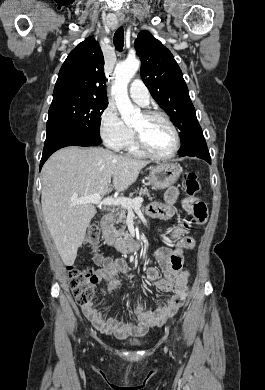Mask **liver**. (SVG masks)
I'll list each match as a JSON object with an SVG mask.
<instances>
[{"label":"liver","instance_id":"6515ba94","mask_svg":"<svg viewBox=\"0 0 265 390\" xmlns=\"http://www.w3.org/2000/svg\"><path fill=\"white\" fill-rule=\"evenodd\" d=\"M148 161L97 147L69 146L55 152L42 168V212L59 255L72 266L86 229L96 214L91 203L73 204L72 198L105 195L111 188L124 191Z\"/></svg>","mask_w":265,"mask_h":390}]
</instances>
